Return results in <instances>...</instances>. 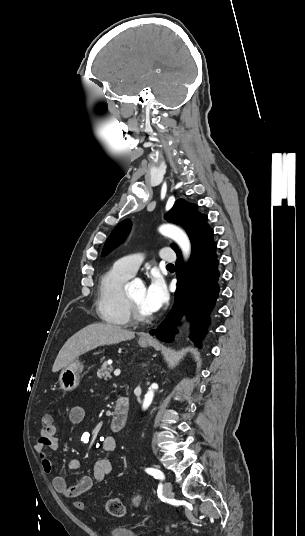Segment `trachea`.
Listing matches in <instances>:
<instances>
[{"instance_id":"3493384b","label":"trachea","mask_w":305,"mask_h":536,"mask_svg":"<svg viewBox=\"0 0 305 536\" xmlns=\"http://www.w3.org/2000/svg\"><path fill=\"white\" fill-rule=\"evenodd\" d=\"M166 268L168 270H174V265H172V263H169Z\"/></svg>"}]
</instances>
